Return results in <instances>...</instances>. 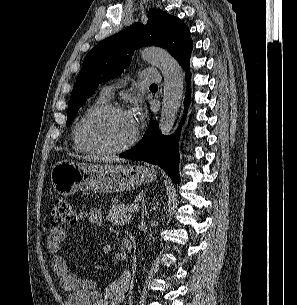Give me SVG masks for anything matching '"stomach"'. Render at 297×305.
I'll use <instances>...</instances> for the list:
<instances>
[{
	"label": "stomach",
	"instance_id": "obj_1",
	"mask_svg": "<svg viewBox=\"0 0 297 305\" xmlns=\"http://www.w3.org/2000/svg\"><path fill=\"white\" fill-rule=\"evenodd\" d=\"M155 179L156 171L142 165L88 164L61 160L51 170L53 189L65 197L77 191H130Z\"/></svg>",
	"mask_w": 297,
	"mask_h": 305
}]
</instances>
